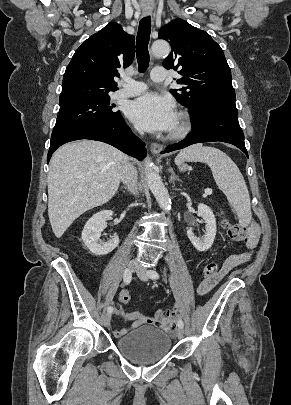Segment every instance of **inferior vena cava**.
I'll list each match as a JSON object with an SVG mask.
<instances>
[{
	"mask_svg": "<svg viewBox=\"0 0 291 405\" xmlns=\"http://www.w3.org/2000/svg\"><path fill=\"white\" fill-rule=\"evenodd\" d=\"M121 181L126 184L132 194H137L138 174L135 167L125 157L121 166Z\"/></svg>",
	"mask_w": 291,
	"mask_h": 405,
	"instance_id": "1",
	"label": "inferior vena cava"
}]
</instances>
